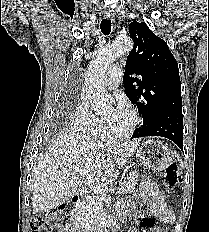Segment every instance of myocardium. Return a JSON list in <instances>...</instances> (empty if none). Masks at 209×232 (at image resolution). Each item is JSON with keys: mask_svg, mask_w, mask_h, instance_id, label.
Listing matches in <instances>:
<instances>
[{"mask_svg": "<svg viewBox=\"0 0 209 232\" xmlns=\"http://www.w3.org/2000/svg\"><path fill=\"white\" fill-rule=\"evenodd\" d=\"M126 111L129 113V115L131 116V119H132V123H131L130 127L124 132L115 133L109 129L107 121L105 119H103L102 120V128H103V132H104L105 136H108L111 138H127L133 134V132L135 131V129L137 128V126L140 123V117H139L138 113L133 109L129 108Z\"/></svg>", "mask_w": 209, "mask_h": 232, "instance_id": "obj_1", "label": "myocardium"}]
</instances>
